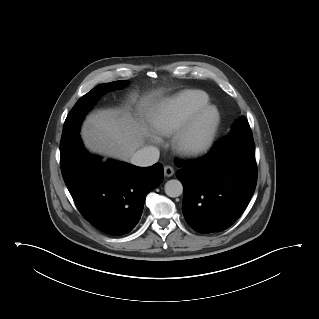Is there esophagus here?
Here are the masks:
<instances>
[{
  "label": "esophagus",
  "mask_w": 319,
  "mask_h": 319,
  "mask_svg": "<svg viewBox=\"0 0 319 319\" xmlns=\"http://www.w3.org/2000/svg\"><path fill=\"white\" fill-rule=\"evenodd\" d=\"M164 174L167 177H171L174 174V169L171 166L164 167Z\"/></svg>",
  "instance_id": "34e87169"
}]
</instances>
